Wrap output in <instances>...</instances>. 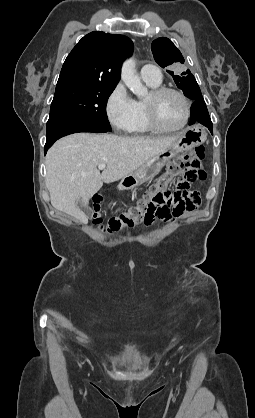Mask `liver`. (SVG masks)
I'll list each match as a JSON object with an SVG mask.
<instances>
[{"label":"liver","instance_id":"6515ba94","mask_svg":"<svg viewBox=\"0 0 255 418\" xmlns=\"http://www.w3.org/2000/svg\"><path fill=\"white\" fill-rule=\"evenodd\" d=\"M180 135L163 138L120 137L76 133L57 141L46 155V186L52 206L82 222L86 207L103 182L110 184L131 175L153 156L165 151ZM99 164L107 167L97 169Z\"/></svg>","mask_w":255,"mask_h":418}]
</instances>
